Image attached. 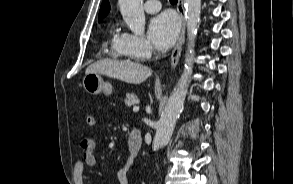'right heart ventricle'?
<instances>
[{
  "label": "right heart ventricle",
  "mask_w": 293,
  "mask_h": 184,
  "mask_svg": "<svg viewBox=\"0 0 293 184\" xmlns=\"http://www.w3.org/2000/svg\"><path fill=\"white\" fill-rule=\"evenodd\" d=\"M121 36V34H117L115 32L112 33L109 53L113 58L131 59L134 56L123 44Z\"/></svg>",
  "instance_id": "e07e8e85"
}]
</instances>
